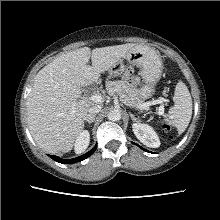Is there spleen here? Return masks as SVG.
Wrapping results in <instances>:
<instances>
[{"label":"spleen","instance_id":"obj_1","mask_svg":"<svg viewBox=\"0 0 220 220\" xmlns=\"http://www.w3.org/2000/svg\"><path fill=\"white\" fill-rule=\"evenodd\" d=\"M174 106L169 109L165 121L177 128L182 134L188 127L192 117V98L187 86L179 81L174 92Z\"/></svg>","mask_w":220,"mask_h":220}]
</instances>
